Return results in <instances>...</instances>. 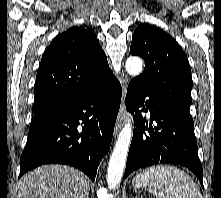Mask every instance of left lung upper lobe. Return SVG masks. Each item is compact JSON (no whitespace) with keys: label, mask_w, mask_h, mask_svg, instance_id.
Here are the masks:
<instances>
[{"label":"left lung upper lobe","mask_w":221,"mask_h":198,"mask_svg":"<svg viewBox=\"0 0 221 198\" xmlns=\"http://www.w3.org/2000/svg\"><path fill=\"white\" fill-rule=\"evenodd\" d=\"M130 52L145 61L143 73L132 81L148 88L172 110L193 121L190 66L176 40L158 27L140 24L133 34Z\"/></svg>","instance_id":"obj_1"}]
</instances>
